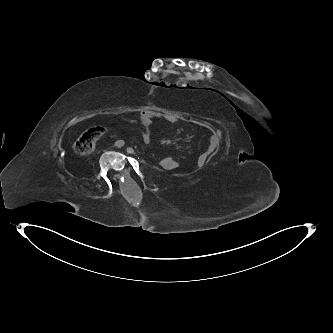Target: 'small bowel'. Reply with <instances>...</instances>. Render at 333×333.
<instances>
[{
  "label": "small bowel",
  "mask_w": 333,
  "mask_h": 333,
  "mask_svg": "<svg viewBox=\"0 0 333 333\" xmlns=\"http://www.w3.org/2000/svg\"><path fill=\"white\" fill-rule=\"evenodd\" d=\"M155 119H162L168 123H175L177 121L175 116L160 114L152 110L142 111L139 115V121L135 120L134 123L138 124V122H140V124L144 127L141 135L145 142H149L151 140V124ZM208 156V152L201 154L197 160V165L202 167L207 162ZM178 165V162L173 158V161L170 164H167L165 167H161L165 170H174L178 168Z\"/></svg>",
  "instance_id": "1"
}]
</instances>
